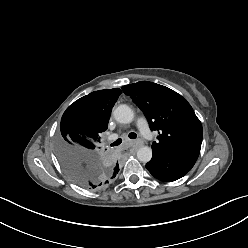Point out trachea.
<instances>
[{
	"label": "trachea",
	"instance_id": "1",
	"mask_svg": "<svg viewBox=\"0 0 248 248\" xmlns=\"http://www.w3.org/2000/svg\"><path fill=\"white\" fill-rule=\"evenodd\" d=\"M128 137L130 138V139H135L136 137H137V135H136V133H134V132H131L129 135H128ZM122 143V139H117L115 142H113L112 144H111V146H118V145H120Z\"/></svg>",
	"mask_w": 248,
	"mask_h": 248
}]
</instances>
